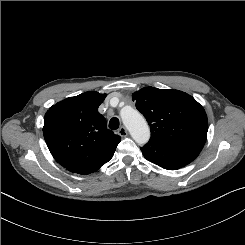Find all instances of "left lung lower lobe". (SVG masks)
<instances>
[{
    "instance_id": "left-lung-lower-lobe-1",
    "label": "left lung lower lobe",
    "mask_w": 245,
    "mask_h": 245,
    "mask_svg": "<svg viewBox=\"0 0 245 245\" xmlns=\"http://www.w3.org/2000/svg\"><path fill=\"white\" fill-rule=\"evenodd\" d=\"M144 157L167 170L180 169L197 156L188 152L170 148L154 141H149L141 148Z\"/></svg>"
}]
</instances>
